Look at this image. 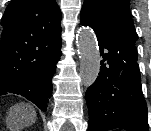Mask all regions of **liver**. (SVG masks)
Returning a JSON list of instances; mask_svg holds the SVG:
<instances>
[{
  "mask_svg": "<svg viewBox=\"0 0 151 131\" xmlns=\"http://www.w3.org/2000/svg\"><path fill=\"white\" fill-rule=\"evenodd\" d=\"M36 120V112L33 108H30L27 118V124H30Z\"/></svg>",
  "mask_w": 151,
  "mask_h": 131,
  "instance_id": "6515ba94",
  "label": "liver"
}]
</instances>
